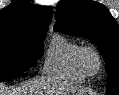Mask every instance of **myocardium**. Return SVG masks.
Listing matches in <instances>:
<instances>
[{
	"mask_svg": "<svg viewBox=\"0 0 119 95\" xmlns=\"http://www.w3.org/2000/svg\"><path fill=\"white\" fill-rule=\"evenodd\" d=\"M89 56H93L97 62V65L95 68H92L89 65L88 62V58ZM78 62L79 65L81 67V69L90 76L96 75L100 72V70L102 69V65H103V60L102 57L99 53V51L93 47V46H82L79 54H78Z\"/></svg>",
	"mask_w": 119,
	"mask_h": 95,
	"instance_id": "f54148a6",
	"label": "myocardium"
}]
</instances>
